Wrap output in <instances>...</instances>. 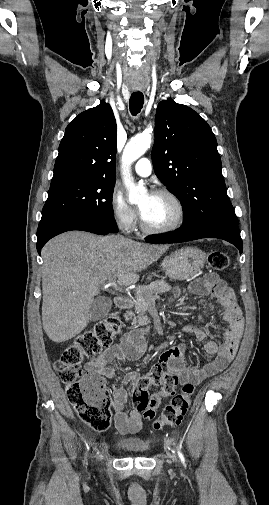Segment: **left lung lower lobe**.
Instances as JSON below:
<instances>
[{"mask_svg": "<svg viewBox=\"0 0 269 505\" xmlns=\"http://www.w3.org/2000/svg\"><path fill=\"white\" fill-rule=\"evenodd\" d=\"M201 238H219L234 244L240 251H243V242L240 237L238 224L231 221H221L210 224L204 228L186 231L177 229L175 232L163 235L150 237L146 239L148 243H178L191 241Z\"/></svg>", "mask_w": 269, "mask_h": 505, "instance_id": "1", "label": "left lung lower lobe"}]
</instances>
